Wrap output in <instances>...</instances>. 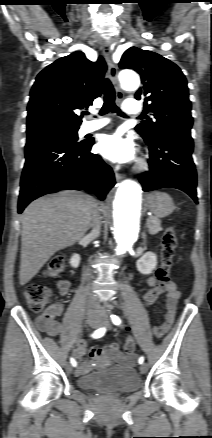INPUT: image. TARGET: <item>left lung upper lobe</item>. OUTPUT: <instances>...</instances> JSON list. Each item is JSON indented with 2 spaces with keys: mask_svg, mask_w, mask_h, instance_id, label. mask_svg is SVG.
<instances>
[{
  "mask_svg": "<svg viewBox=\"0 0 212 438\" xmlns=\"http://www.w3.org/2000/svg\"><path fill=\"white\" fill-rule=\"evenodd\" d=\"M119 67L140 74L143 86L135 97L150 101L145 109L155 120L147 119L136 126L145 140L163 132H190L193 118L187 81L177 65L157 53L131 47L123 54Z\"/></svg>",
  "mask_w": 212,
  "mask_h": 438,
  "instance_id": "1",
  "label": "left lung upper lobe"
}]
</instances>
